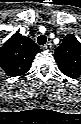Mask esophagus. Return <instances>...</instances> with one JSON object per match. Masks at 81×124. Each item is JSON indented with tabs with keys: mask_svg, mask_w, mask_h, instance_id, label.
Instances as JSON below:
<instances>
[{
	"mask_svg": "<svg viewBox=\"0 0 81 124\" xmlns=\"http://www.w3.org/2000/svg\"><path fill=\"white\" fill-rule=\"evenodd\" d=\"M42 49L46 50V51H50L52 49V43L51 42H48L46 43Z\"/></svg>",
	"mask_w": 81,
	"mask_h": 124,
	"instance_id": "obj_1",
	"label": "esophagus"
}]
</instances>
